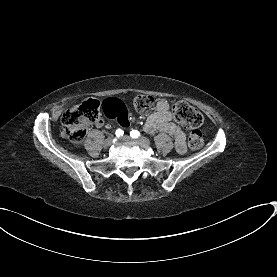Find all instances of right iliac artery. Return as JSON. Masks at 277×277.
I'll list each match as a JSON object with an SVG mask.
<instances>
[{
  "label": "right iliac artery",
  "mask_w": 277,
  "mask_h": 277,
  "mask_svg": "<svg viewBox=\"0 0 277 277\" xmlns=\"http://www.w3.org/2000/svg\"><path fill=\"white\" fill-rule=\"evenodd\" d=\"M123 134H124V131L121 130V129H117L116 132H115V135H116L117 137H121V136H123Z\"/></svg>",
  "instance_id": "82829eb1"
}]
</instances>
